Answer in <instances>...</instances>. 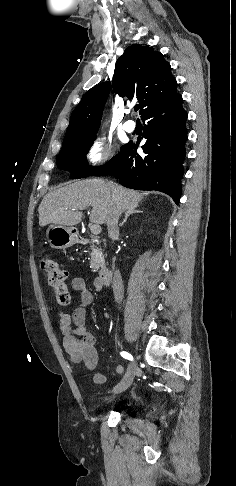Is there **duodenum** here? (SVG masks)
I'll return each instance as SVG.
<instances>
[{"mask_svg":"<svg viewBox=\"0 0 236 486\" xmlns=\"http://www.w3.org/2000/svg\"><path fill=\"white\" fill-rule=\"evenodd\" d=\"M80 240H81V243H89L90 242L89 239L84 238V237H82ZM110 275H111L110 269L108 267H102L99 270V273H98L97 278H96V282L100 286H106L108 284L109 280H110Z\"/></svg>","mask_w":236,"mask_h":486,"instance_id":"410a0bca","label":"duodenum"}]
</instances>
